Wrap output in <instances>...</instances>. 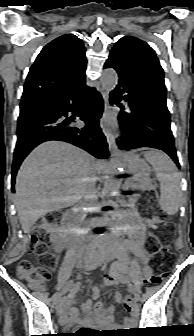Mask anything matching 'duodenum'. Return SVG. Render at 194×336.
Here are the masks:
<instances>
[{"label":"duodenum","mask_w":194,"mask_h":336,"mask_svg":"<svg viewBox=\"0 0 194 336\" xmlns=\"http://www.w3.org/2000/svg\"><path fill=\"white\" fill-rule=\"evenodd\" d=\"M79 211L80 207H75L73 208V211L68 212L63 219V228L67 233L68 246L73 250L76 249L80 241V233L78 231L77 224ZM105 258V250L100 249L92 257V259H94L96 262L93 263L90 261H86V263L89 264L90 268H95L96 264L102 262L103 260H105Z\"/></svg>","instance_id":"duodenum-1"}]
</instances>
